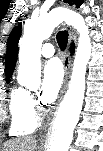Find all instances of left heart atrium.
<instances>
[{"label": "left heart atrium", "instance_id": "1", "mask_svg": "<svg viewBox=\"0 0 103 151\" xmlns=\"http://www.w3.org/2000/svg\"><path fill=\"white\" fill-rule=\"evenodd\" d=\"M63 80V70L56 60L48 62L43 69V81L40 100L44 105L50 104L57 97Z\"/></svg>", "mask_w": 103, "mask_h": 151}]
</instances>
